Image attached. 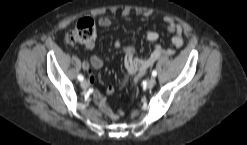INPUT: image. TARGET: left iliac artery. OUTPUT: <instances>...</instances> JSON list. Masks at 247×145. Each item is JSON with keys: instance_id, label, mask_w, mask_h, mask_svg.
<instances>
[{"instance_id": "left-iliac-artery-1", "label": "left iliac artery", "mask_w": 247, "mask_h": 145, "mask_svg": "<svg viewBox=\"0 0 247 145\" xmlns=\"http://www.w3.org/2000/svg\"><path fill=\"white\" fill-rule=\"evenodd\" d=\"M157 75V71L156 70H153L152 71V76L155 77Z\"/></svg>"}]
</instances>
